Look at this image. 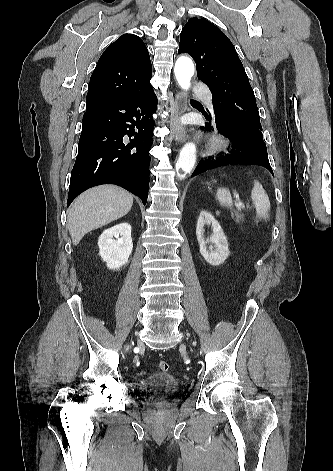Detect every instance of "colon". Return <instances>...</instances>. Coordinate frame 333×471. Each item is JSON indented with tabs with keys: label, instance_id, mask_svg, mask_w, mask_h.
<instances>
[{
	"label": "colon",
	"instance_id": "colon-1",
	"mask_svg": "<svg viewBox=\"0 0 333 471\" xmlns=\"http://www.w3.org/2000/svg\"><path fill=\"white\" fill-rule=\"evenodd\" d=\"M158 368L162 371V372H167L169 370V364L167 361L165 360H160L159 363H158Z\"/></svg>",
	"mask_w": 333,
	"mask_h": 471
}]
</instances>
